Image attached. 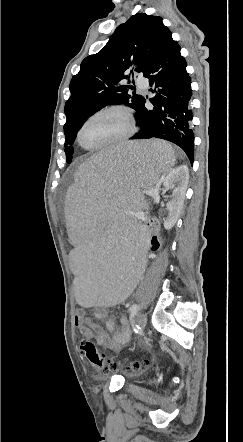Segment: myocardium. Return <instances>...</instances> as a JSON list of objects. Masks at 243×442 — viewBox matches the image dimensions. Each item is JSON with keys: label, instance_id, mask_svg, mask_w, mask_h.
<instances>
[{"label": "myocardium", "instance_id": "myocardium-1", "mask_svg": "<svg viewBox=\"0 0 243 442\" xmlns=\"http://www.w3.org/2000/svg\"><path fill=\"white\" fill-rule=\"evenodd\" d=\"M108 112H119V113H121L125 117L126 124H127L126 131L122 135H120V136H118V137H116L114 139H111V140H109L107 142H104L102 144H99V145H96V146H87V145H85L82 142V140H81V133H82V130H83L84 126L90 120H92L93 118H95V117H97L99 115L108 113ZM134 131H135V121H134V117H133V114L130 111V109L125 107V106H122V105H113V106H108V107L102 108V109L92 113L91 115H89L81 123V125H80V127H79V129L77 131L76 139H77L78 144L82 148H84L85 150L94 151V150L103 149V148H106V147H109V146L121 143V142L129 139L133 135Z\"/></svg>", "mask_w": 243, "mask_h": 442}]
</instances>
